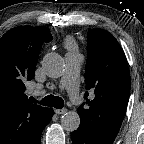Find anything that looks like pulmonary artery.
Wrapping results in <instances>:
<instances>
[{
  "label": "pulmonary artery",
  "mask_w": 144,
  "mask_h": 144,
  "mask_svg": "<svg viewBox=\"0 0 144 144\" xmlns=\"http://www.w3.org/2000/svg\"><path fill=\"white\" fill-rule=\"evenodd\" d=\"M82 61L83 58L78 53L69 52L65 56L66 66L60 85L62 88L66 89L72 103H79L81 101L78 90Z\"/></svg>",
  "instance_id": "pulmonary-artery-1"
}]
</instances>
